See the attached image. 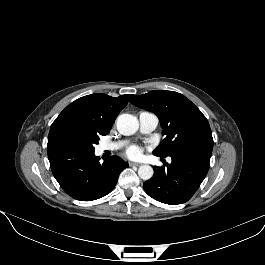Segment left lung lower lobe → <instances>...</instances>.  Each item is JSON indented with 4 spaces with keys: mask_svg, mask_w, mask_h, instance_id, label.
Here are the masks:
<instances>
[{
    "mask_svg": "<svg viewBox=\"0 0 265 265\" xmlns=\"http://www.w3.org/2000/svg\"><path fill=\"white\" fill-rule=\"evenodd\" d=\"M212 149V136H202L182 144L167 155L172 159L171 164L154 167V176L143 185L145 192L165 204L185 203L206 177Z\"/></svg>",
    "mask_w": 265,
    "mask_h": 265,
    "instance_id": "1",
    "label": "left lung lower lobe"
}]
</instances>
